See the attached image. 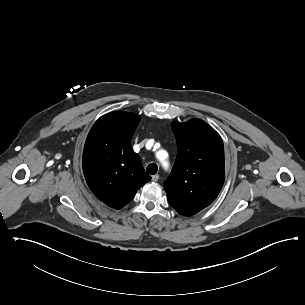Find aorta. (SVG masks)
Masks as SVG:
<instances>
[{"label": "aorta", "instance_id": "1", "mask_svg": "<svg viewBox=\"0 0 305 305\" xmlns=\"http://www.w3.org/2000/svg\"><path fill=\"white\" fill-rule=\"evenodd\" d=\"M161 154H162V152H159V153H158V157H161ZM163 165L166 166L167 163H166V162H163Z\"/></svg>", "mask_w": 305, "mask_h": 305}]
</instances>
